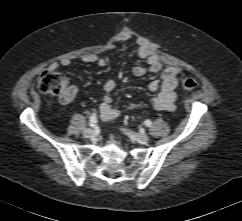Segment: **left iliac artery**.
Wrapping results in <instances>:
<instances>
[{
    "label": "left iliac artery",
    "instance_id": "obj_1",
    "mask_svg": "<svg viewBox=\"0 0 242 221\" xmlns=\"http://www.w3.org/2000/svg\"><path fill=\"white\" fill-rule=\"evenodd\" d=\"M144 123L147 127H151L152 125V122L150 120H145Z\"/></svg>",
    "mask_w": 242,
    "mask_h": 221
}]
</instances>
